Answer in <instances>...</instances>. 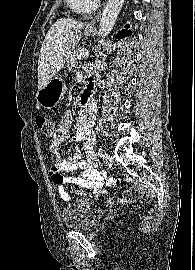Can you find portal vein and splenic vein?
I'll return each mask as SVG.
<instances>
[{"instance_id": "18ae733b", "label": "portal vein and splenic vein", "mask_w": 195, "mask_h": 270, "mask_svg": "<svg viewBox=\"0 0 195 270\" xmlns=\"http://www.w3.org/2000/svg\"><path fill=\"white\" fill-rule=\"evenodd\" d=\"M87 56H88V52H83V53L79 54L78 58L83 59V58H86Z\"/></svg>"}]
</instances>
